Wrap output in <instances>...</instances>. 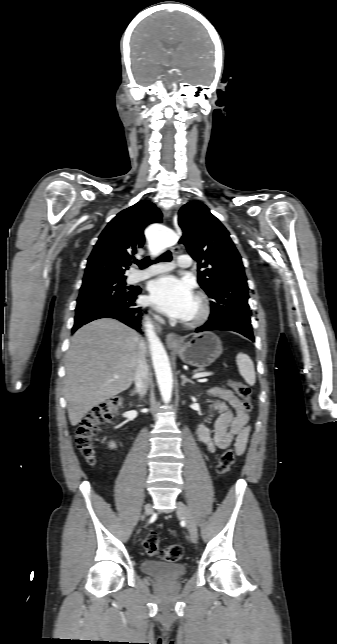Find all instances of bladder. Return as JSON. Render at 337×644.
<instances>
[{
	"label": "bladder",
	"mask_w": 337,
	"mask_h": 644,
	"mask_svg": "<svg viewBox=\"0 0 337 644\" xmlns=\"http://www.w3.org/2000/svg\"><path fill=\"white\" fill-rule=\"evenodd\" d=\"M141 570L144 574L157 579L176 580L187 573V566L183 563L145 559L141 562Z\"/></svg>",
	"instance_id": "31cf9c89"
}]
</instances>
